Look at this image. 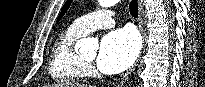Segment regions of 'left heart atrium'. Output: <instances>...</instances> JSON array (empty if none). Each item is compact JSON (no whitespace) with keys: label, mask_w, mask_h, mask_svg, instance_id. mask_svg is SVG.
<instances>
[{"label":"left heart atrium","mask_w":205,"mask_h":87,"mask_svg":"<svg viewBox=\"0 0 205 87\" xmlns=\"http://www.w3.org/2000/svg\"><path fill=\"white\" fill-rule=\"evenodd\" d=\"M140 48L137 33L130 28L109 32L101 41L97 66L104 73H118L136 59Z\"/></svg>","instance_id":"39dd6f15"}]
</instances>
